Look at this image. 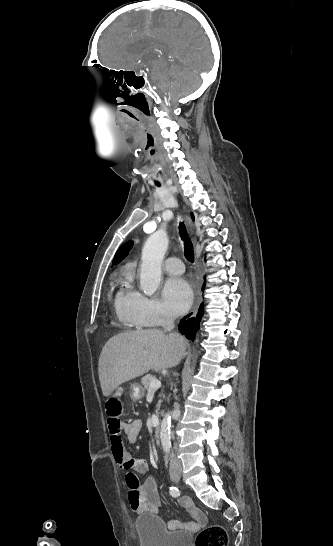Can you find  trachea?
Masks as SVG:
<instances>
[{"instance_id": "3493384b", "label": "trachea", "mask_w": 333, "mask_h": 546, "mask_svg": "<svg viewBox=\"0 0 333 546\" xmlns=\"http://www.w3.org/2000/svg\"><path fill=\"white\" fill-rule=\"evenodd\" d=\"M157 186H160V185L157 184ZM179 232H180L181 239L184 241L185 257L189 262L193 263L194 262L193 246H192L191 242L189 241V239L187 238V233H186V228H185L184 223L180 222Z\"/></svg>"}]
</instances>
